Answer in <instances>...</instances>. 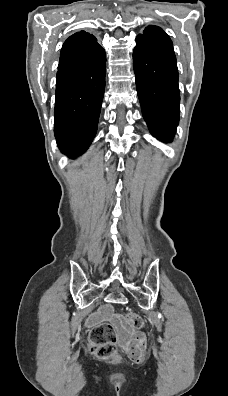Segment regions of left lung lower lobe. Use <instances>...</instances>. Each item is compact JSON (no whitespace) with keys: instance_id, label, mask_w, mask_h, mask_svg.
<instances>
[{"instance_id":"obj_1","label":"left lung lower lobe","mask_w":228,"mask_h":396,"mask_svg":"<svg viewBox=\"0 0 228 396\" xmlns=\"http://www.w3.org/2000/svg\"><path fill=\"white\" fill-rule=\"evenodd\" d=\"M133 67L142 114L153 136L174 138L179 123L180 93L173 44L158 26L136 37Z\"/></svg>"}]
</instances>
